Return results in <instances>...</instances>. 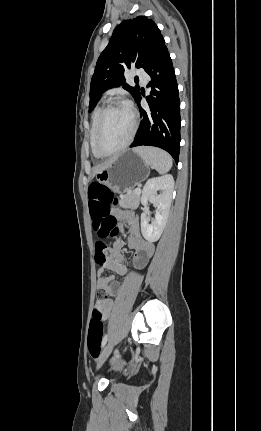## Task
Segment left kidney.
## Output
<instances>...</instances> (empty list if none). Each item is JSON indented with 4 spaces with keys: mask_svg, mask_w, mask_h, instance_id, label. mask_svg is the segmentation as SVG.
<instances>
[{
    "mask_svg": "<svg viewBox=\"0 0 261 431\" xmlns=\"http://www.w3.org/2000/svg\"><path fill=\"white\" fill-rule=\"evenodd\" d=\"M174 179L172 175H165L148 180L143 187L141 202L145 206L150 201L156 208L157 214L149 223V217L143 213L141 215V232L143 237L149 242L157 241L167 222L172 201ZM162 191L157 195V191Z\"/></svg>",
    "mask_w": 261,
    "mask_h": 431,
    "instance_id": "1",
    "label": "left kidney"
}]
</instances>
